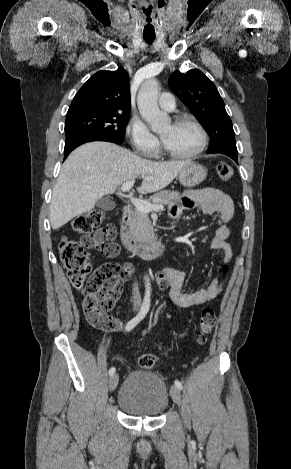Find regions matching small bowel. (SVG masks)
Segmentation results:
<instances>
[{"label":"small bowel","instance_id":"c3829d8e","mask_svg":"<svg viewBox=\"0 0 291 469\" xmlns=\"http://www.w3.org/2000/svg\"><path fill=\"white\" fill-rule=\"evenodd\" d=\"M195 206L200 207L206 215L218 214L222 224L217 228L211 241V248L222 251L225 263H229L232 258V249L227 239L230 236L228 223L233 218L234 206L232 200L223 191L216 188H204L200 190L188 191L182 198L179 206L172 207L170 215L177 219L184 210ZM115 236V229L112 225L100 229L93 236V243L90 247L98 250L107 257H114L107 253L106 248ZM185 272L172 266L164 267L156 275L157 283L161 290L168 289L172 302L179 308L185 309L196 305L204 304L216 298L222 291L225 280L214 279L207 287L192 293L183 290L185 282ZM123 284V283H122ZM122 284L115 294V301L121 295ZM113 326L110 331H121L123 322L118 318H112Z\"/></svg>","mask_w":291,"mask_h":469}]
</instances>
